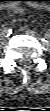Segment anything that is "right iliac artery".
<instances>
[{
  "label": "right iliac artery",
  "instance_id": "right-iliac-artery-1",
  "mask_svg": "<svg viewBox=\"0 0 50 111\" xmlns=\"http://www.w3.org/2000/svg\"><path fill=\"white\" fill-rule=\"evenodd\" d=\"M11 32H12L11 29L6 27V28L2 29L1 35H7V37H8V36H10Z\"/></svg>",
  "mask_w": 50,
  "mask_h": 111
}]
</instances>
